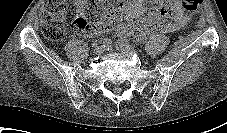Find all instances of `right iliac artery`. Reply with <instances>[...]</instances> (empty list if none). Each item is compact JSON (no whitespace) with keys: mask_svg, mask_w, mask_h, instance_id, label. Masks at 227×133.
<instances>
[{"mask_svg":"<svg viewBox=\"0 0 227 133\" xmlns=\"http://www.w3.org/2000/svg\"><path fill=\"white\" fill-rule=\"evenodd\" d=\"M110 45H111V40L110 39H105L103 41V46L104 47L108 48V47H110Z\"/></svg>","mask_w":227,"mask_h":133,"instance_id":"right-iliac-artery-1","label":"right iliac artery"}]
</instances>
